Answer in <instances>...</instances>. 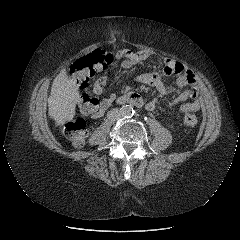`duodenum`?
I'll return each mask as SVG.
<instances>
[{
	"mask_svg": "<svg viewBox=\"0 0 240 240\" xmlns=\"http://www.w3.org/2000/svg\"><path fill=\"white\" fill-rule=\"evenodd\" d=\"M118 104H131L136 107L144 106V101L141 96L137 93H127L117 98Z\"/></svg>",
	"mask_w": 240,
	"mask_h": 240,
	"instance_id": "1",
	"label": "duodenum"
}]
</instances>
